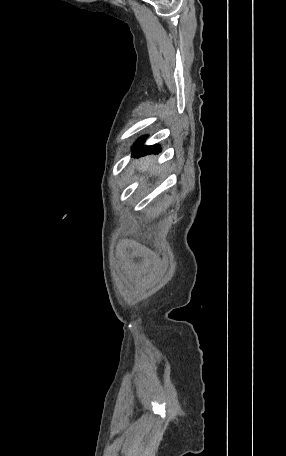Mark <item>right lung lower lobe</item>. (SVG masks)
Listing matches in <instances>:
<instances>
[{
	"label": "right lung lower lobe",
	"instance_id": "98d812e1",
	"mask_svg": "<svg viewBox=\"0 0 286 456\" xmlns=\"http://www.w3.org/2000/svg\"><path fill=\"white\" fill-rule=\"evenodd\" d=\"M145 140V137H142L139 139V141L136 143V147L133 150L132 156L134 157H140L146 154L150 153H158L159 152V146L158 145H153V146H143L142 142Z\"/></svg>",
	"mask_w": 286,
	"mask_h": 456
}]
</instances>
